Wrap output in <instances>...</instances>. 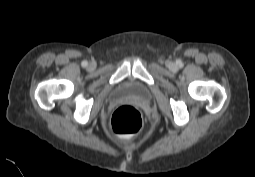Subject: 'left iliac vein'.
<instances>
[{
  "label": "left iliac vein",
  "instance_id": "1",
  "mask_svg": "<svg viewBox=\"0 0 255 177\" xmlns=\"http://www.w3.org/2000/svg\"><path fill=\"white\" fill-rule=\"evenodd\" d=\"M171 68H175V65L173 63L170 64Z\"/></svg>",
  "mask_w": 255,
  "mask_h": 177
}]
</instances>
